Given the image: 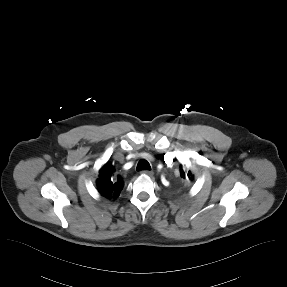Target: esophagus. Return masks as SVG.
Segmentation results:
<instances>
[{"label":"esophagus","mask_w":287,"mask_h":287,"mask_svg":"<svg viewBox=\"0 0 287 287\" xmlns=\"http://www.w3.org/2000/svg\"><path fill=\"white\" fill-rule=\"evenodd\" d=\"M142 173L147 175V176H153V174H154L153 171H149V170H144V171H142Z\"/></svg>","instance_id":"obj_1"}]
</instances>
